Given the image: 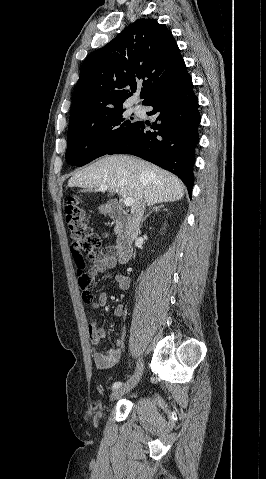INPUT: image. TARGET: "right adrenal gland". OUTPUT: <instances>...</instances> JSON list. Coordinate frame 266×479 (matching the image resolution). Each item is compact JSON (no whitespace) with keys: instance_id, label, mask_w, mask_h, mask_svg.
Wrapping results in <instances>:
<instances>
[{"instance_id":"1","label":"right adrenal gland","mask_w":266,"mask_h":479,"mask_svg":"<svg viewBox=\"0 0 266 479\" xmlns=\"http://www.w3.org/2000/svg\"><path fill=\"white\" fill-rule=\"evenodd\" d=\"M163 207H164L163 204H160V205H158V206H154V207L152 208V210L143 218L142 222H144L145 220H147V218L149 217V215H150L152 212H157V211H159L160 209H162Z\"/></svg>"}]
</instances>
